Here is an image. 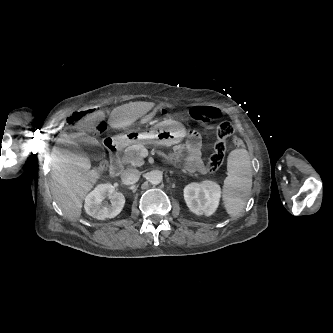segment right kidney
Returning <instances> with one entry per match:
<instances>
[{
  "label": "right kidney",
  "mask_w": 333,
  "mask_h": 333,
  "mask_svg": "<svg viewBox=\"0 0 333 333\" xmlns=\"http://www.w3.org/2000/svg\"><path fill=\"white\" fill-rule=\"evenodd\" d=\"M109 198L111 203H105ZM125 204L124 195L115 190L109 183L97 185L85 198L84 208L88 215L98 220L113 218L123 209Z\"/></svg>",
  "instance_id": "ca27d5eb"
}]
</instances>
